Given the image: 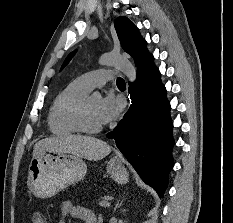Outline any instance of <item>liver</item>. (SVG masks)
I'll return each mask as SVG.
<instances>
[{
	"mask_svg": "<svg viewBox=\"0 0 233 223\" xmlns=\"http://www.w3.org/2000/svg\"><path fill=\"white\" fill-rule=\"evenodd\" d=\"M63 151V153H72L78 157H84L89 161H99L105 155L110 153L112 147L106 141L90 137V135H54V137H45L37 141L33 155H37L39 151Z\"/></svg>",
	"mask_w": 233,
	"mask_h": 223,
	"instance_id": "obj_1",
	"label": "liver"
}]
</instances>
